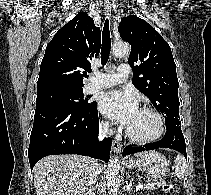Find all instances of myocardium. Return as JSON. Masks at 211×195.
Segmentation results:
<instances>
[{
	"label": "myocardium",
	"mask_w": 211,
	"mask_h": 195,
	"mask_svg": "<svg viewBox=\"0 0 211 195\" xmlns=\"http://www.w3.org/2000/svg\"><path fill=\"white\" fill-rule=\"evenodd\" d=\"M140 110L149 111L157 117V119L159 121L158 131L154 135H152L148 138H139V137L133 135L127 128L125 131L126 137L130 141H132L136 144H149V143L159 140L164 135L165 129H166L165 119H164L162 113L159 110H157L156 108H154L152 106H147V105L140 107Z\"/></svg>",
	"instance_id": "obj_1"
}]
</instances>
